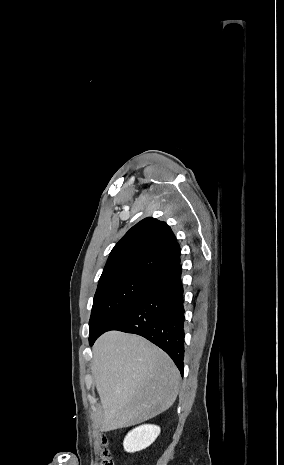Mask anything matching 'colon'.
<instances>
[{
    "mask_svg": "<svg viewBox=\"0 0 284 465\" xmlns=\"http://www.w3.org/2000/svg\"><path fill=\"white\" fill-rule=\"evenodd\" d=\"M103 454H104V452H103ZM100 464L101 465H113V463L110 460H106L104 462L102 461Z\"/></svg>",
    "mask_w": 284,
    "mask_h": 465,
    "instance_id": "5ec220e1",
    "label": "colon"
}]
</instances>
